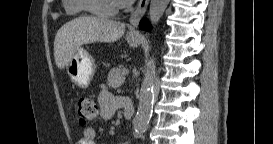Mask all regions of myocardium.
<instances>
[{"label":"myocardium","mask_w":273,"mask_h":144,"mask_svg":"<svg viewBox=\"0 0 273 144\" xmlns=\"http://www.w3.org/2000/svg\"><path fill=\"white\" fill-rule=\"evenodd\" d=\"M95 3H96V0H81V4H82L84 11H87L93 15L110 16V15L116 14L119 10L118 6L104 10V9L97 7Z\"/></svg>","instance_id":"1"}]
</instances>
